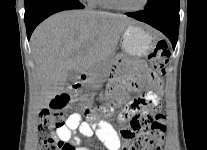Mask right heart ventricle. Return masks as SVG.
I'll use <instances>...</instances> for the list:
<instances>
[{
	"label": "right heart ventricle",
	"mask_w": 207,
	"mask_h": 150,
	"mask_svg": "<svg viewBox=\"0 0 207 150\" xmlns=\"http://www.w3.org/2000/svg\"><path fill=\"white\" fill-rule=\"evenodd\" d=\"M90 4L93 7L101 8V9H114L115 7L110 2V0H91Z\"/></svg>",
	"instance_id": "right-heart-ventricle-1"
}]
</instances>
